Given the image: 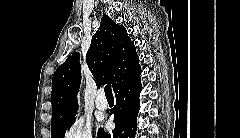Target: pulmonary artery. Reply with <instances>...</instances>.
<instances>
[{
	"instance_id": "obj_1",
	"label": "pulmonary artery",
	"mask_w": 240,
	"mask_h": 138,
	"mask_svg": "<svg viewBox=\"0 0 240 138\" xmlns=\"http://www.w3.org/2000/svg\"><path fill=\"white\" fill-rule=\"evenodd\" d=\"M95 103L99 110L104 111L108 108V102L105 99V94L102 89L98 90Z\"/></svg>"
}]
</instances>
